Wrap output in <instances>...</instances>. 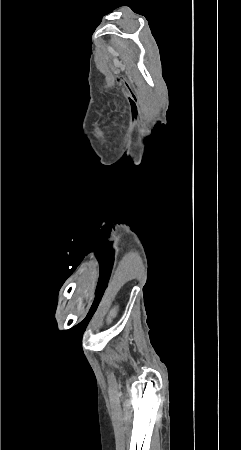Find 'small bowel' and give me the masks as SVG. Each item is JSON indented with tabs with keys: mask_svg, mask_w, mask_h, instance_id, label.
<instances>
[{
	"mask_svg": "<svg viewBox=\"0 0 241 450\" xmlns=\"http://www.w3.org/2000/svg\"><path fill=\"white\" fill-rule=\"evenodd\" d=\"M103 317L105 319H110L111 317L114 319H122L124 317V312L122 310H114L113 312L110 310H105L103 312Z\"/></svg>",
	"mask_w": 241,
	"mask_h": 450,
	"instance_id": "c3829d8e",
	"label": "small bowel"
}]
</instances>
